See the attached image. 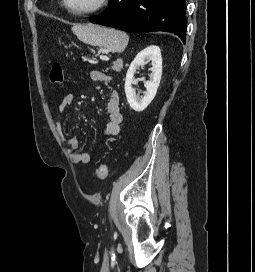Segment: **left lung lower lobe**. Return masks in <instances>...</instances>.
<instances>
[{
    "label": "left lung lower lobe",
    "instance_id": "1",
    "mask_svg": "<svg viewBox=\"0 0 255 272\" xmlns=\"http://www.w3.org/2000/svg\"><path fill=\"white\" fill-rule=\"evenodd\" d=\"M185 9V0H110L109 8L90 21L130 33L171 32L185 43Z\"/></svg>",
    "mask_w": 255,
    "mask_h": 272
}]
</instances>
